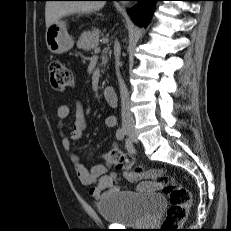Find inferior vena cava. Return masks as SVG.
<instances>
[{
  "label": "inferior vena cava",
  "instance_id": "inferior-vena-cava-1",
  "mask_svg": "<svg viewBox=\"0 0 231 231\" xmlns=\"http://www.w3.org/2000/svg\"><path fill=\"white\" fill-rule=\"evenodd\" d=\"M114 55L116 63V73L119 81L120 97H121V117L123 126H134V118L130 110V97L126 84L121 78L119 71V60H120V45L116 40L114 45Z\"/></svg>",
  "mask_w": 231,
  "mask_h": 231
}]
</instances>
